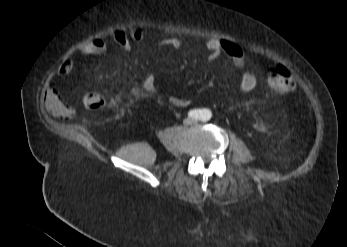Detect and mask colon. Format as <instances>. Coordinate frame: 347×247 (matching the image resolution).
<instances>
[{"instance_id":"5ec220e1","label":"colon","mask_w":347,"mask_h":247,"mask_svg":"<svg viewBox=\"0 0 347 247\" xmlns=\"http://www.w3.org/2000/svg\"><path fill=\"white\" fill-rule=\"evenodd\" d=\"M267 80L271 90L277 94H288L295 89V82L291 73L281 65L270 69ZM104 103V97L98 93L86 92L80 98V105L86 111L99 109Z\"/></svg>"}]
</instances>
